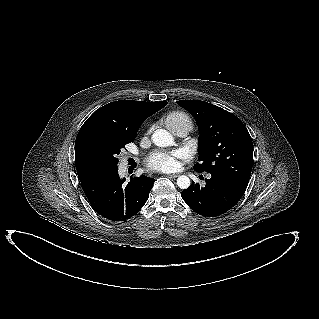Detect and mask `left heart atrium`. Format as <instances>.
<instances>
[{
  "label": "left heart atrium",
  "mask_w": 319,
  "mask_h": 319,
  "mask_svg": "<svg viewBox=\"0 0 319 319\" xmlns=\"http://www.w3.org/2000/svg\"><path fill=\"white\" fill-rule=\"evenodd\" d=\"M181 153L174 152H155L150 154L145 163L148 169L158 172H169L178 167V159Z\"/></svg>",
  "instance_id": "1"
}]
</instances>
